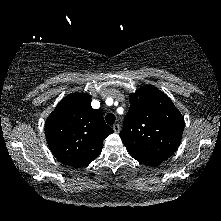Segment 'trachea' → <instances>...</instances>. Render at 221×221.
I'll use <instances>...</instances> for the list:
<instances>
[{
  "instance_id": "3493384b",
  "label": "trachea",
  "mask_w": 221,
  "mask_h": 221,
  "mask_svg": "<svg viewBox=\"0 0 221 221\" xmlns=\"http://www.w3.org/2000/svg\"><path fill=\"white\" fill-rule=\"evenodd\" d=\"M105 119H106L107 124L112 125L116 120V116L112 113H108Z\"/></svg>"
}]
</instances>
